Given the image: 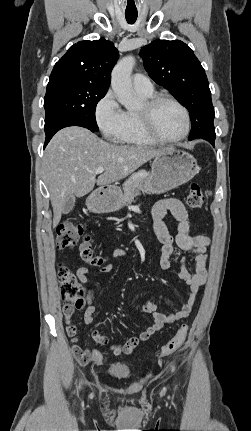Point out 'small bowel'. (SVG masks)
Here are the masks:
<instances>
[{
    "instance_id": "small-bowel-1",
    "label": "small bowel",
    "mask_w": 251,
    "mask_h": 431,
    "mask_svg": "<svg viewBox=\"0 0 251 431\" xmlns=\"http://www.w3.org/2000/svg\"><path fill=\"white\" fill-rule=\"evenodd\" d=\"M170 213L178 222L177 233L173 236L164 219ZM153 230L160 242V247L157 252L160 254L159 265L163 270H169L171 267L170 256L173 254L175 248H179L194 256L195 269L190 272L185 264V260H181V269L178 276L189 287V296L187 301L179 309H174L172 313L165 315L157 311V306L152 300H147L141 308L142 313L150 314L153 323L143 330L139 336L130 338L126 343H111L110 338L98 329H93L91 332L92 339L100 345L110 344V350L114 355L131 354L141 342H146L150 337L166 325L173 324L181 319L186 318L192 311L196 294L206 280L207 269V248L210 240L204 235H191L189 233L188 213L184 204L174 198L163 199L158 201L152 208ZM126 249H117L113 252L112 257H122L127 255ZM115 265L112 263L103 265L99 268L100 273H108L114 269ZM79 280L87 284L88 276L90 275L89 269L80 267L76 271ZM95 295L92 290L88 291L86 298V306L83 314V321L86 324L93 322L94 314L96 312ZM74 310L65 311L64 317L67 324V333L75 340L77 334V327L71 321V316ZM97 349H85L80 345H73L70 351L74 354V362H79L81 369H86L92 363L91 353ZM101 353V352H100Z\"/></svg>"
}]
</instances>
